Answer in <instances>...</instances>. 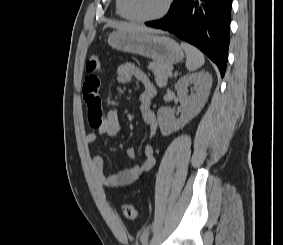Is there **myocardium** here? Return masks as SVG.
<instances>
[{
  "instance_id": "f54148a6",
  "label": "myocardium",
  "mask_w": 283,
  "mask_h": 245,
  "mask_svg": "<svg viewBox=\"0 0 283 245\" xmlns=\"http://www.w3.org/2000/svg\"><path fill=\"white\" fill-rule=\"evenodd\" d=\"M122 1H123V10L126 16L128 17V19L136 21V22H143V23L156 21V20H159L165 17L170 11L173 5V2H174V0H166L164 7L156 15H153L150 17H138L131 13L130 8H129V1L128 0H122Z\"/></svg>"
}]
</instances>
